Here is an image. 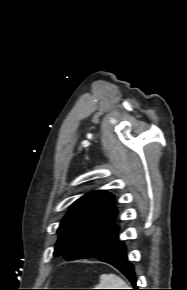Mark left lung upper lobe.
<instances>
[{
	"mask_svg": "<svg viewBox=\"0 0 187 290\" xmlns=\"http://www.w3.org/2000/svg\"><path fill=\"white\" fill-rule=\"evenodd\" d=\"M113 199L105 191H93L75 201L58 228L54 256L71 261L98 252L118 229Z\"/></svg>",
	"mask_w": 187,
	"mask_h": 290,
	"instance_id": "left-lung-upper-lobe-1",
	"label": "left lung upper lobe"
}]
</instances>
